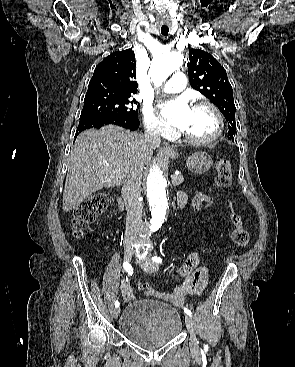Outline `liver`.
I'll use <instances>...</instances> for the list:
<instances>
[{
    "label": "liver",
    "instance_id": "obj_1",
    "mask_svg": "<svg viewBox=\"0 0 295 367\" xmlns=\"http://www.w3.org/2000/svg\"><path fill=\"white\" fill-rule=\"evenodd\" d=\"M158 146L114 125L80 133L69 156L63 211H71L96 191L120 186L129 177L141 178ZM114 170H120L123 177L113 174Z\"/></svg>",
    "mask_w": 295,
    "mask_h": 367
}]
</instances>
